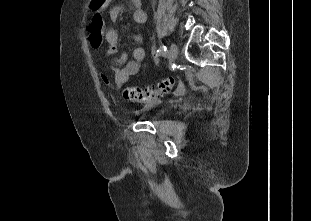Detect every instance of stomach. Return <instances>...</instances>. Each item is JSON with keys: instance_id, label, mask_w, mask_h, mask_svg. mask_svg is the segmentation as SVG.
I'll return each instance as SVG.
<instances>
[{"instance_id": "obj_1", "label": "stomach", "mask_w": 311, "mask_h": 221, "mask_svg": "<svg viewBox=\"0 0 311 221\" xmlns=\"http://www.w3.org/2000/svg\"><path fill=\"white\" fill-rule=\"evenodd\" d=\"M110 0H96V8L97 10H101V8H106L108 6Z\"/></svg>"}]
</instances>
